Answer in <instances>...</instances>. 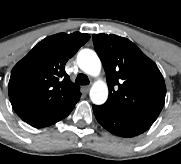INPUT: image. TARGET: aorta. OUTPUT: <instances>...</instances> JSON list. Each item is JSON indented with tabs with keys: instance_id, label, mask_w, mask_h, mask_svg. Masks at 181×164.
Masks as SVG:
<instances>
[{
	"instance_id": "762f6f07",
	"label": "aorta",
	"mask_w": 181,
	"mask_h": 164,
	"mask_svg": "<svg viewBox=\"0 0 181 164\" xmlns=\"http://www.w3.org/2000/svg\"><path fill=\"white\" fill-rule=\"evenodd\" d=\"M79 68L86 74L96 77L101 71V61L91 49H83L77 55ZM108 97V87L105 82L98 80L90 89V99L94 104L105 103Z\"/></svg>"
}]
</instances>
